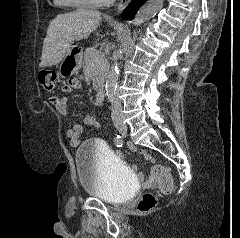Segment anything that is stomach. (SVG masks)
I'll return each instance as SVG.
<instances>
[{"label":"stomach","instance_id":"1","mask_svg":"<svg viewBox=\"0 0 240 238\" xmlns=\"http://www.w3.org/2000/svg\"><path fill=\"white\" fill-rule=\"evenodd\" d=\"M82 66V49L77 45L71 46L59 65V74L66 78L78 71Z\"/></svg>","mask_w":240,"mask_h":238}]
</instances>
